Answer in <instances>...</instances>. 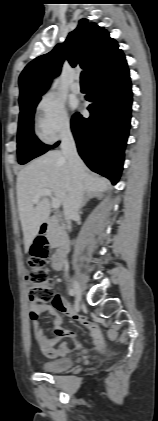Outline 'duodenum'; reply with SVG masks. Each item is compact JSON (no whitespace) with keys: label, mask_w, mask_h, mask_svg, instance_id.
I'll return each mask as SVG.
<instances>
[{"label":"duodenum","mask_w":158,"mask_h":421,"mask_svg":"<svg viewBox=\"0 0 158 421\" xmlns=\"http://www.w3.org/2000/svg\"><path fill=\"white\" fill-rule=\"evenodd\" d=\"M53 221L52 218L46 219L40 226V234L44 235L46 233V231L48 230L51 222ZM69 251V243L68 242H63L58 250L56 251V253L53 256L52 259V267L55 270H60L65 262L66 256L68 254Z\"/></svg>","instance_id":"1"}]
</instances>
